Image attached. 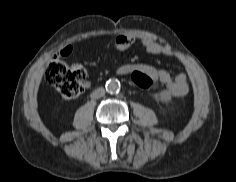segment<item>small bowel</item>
I'll return each instance as SVG.
<instances>
[{
  "instance_id": "small-bowel-1",
  "label": "small bowel",
  "mask_w": 236,
  "mask_h": 182,
  "mask_svg": "<svg viewBox=\"0 0 236 182\" xmlns=\"http://www.w3.org/2000/svg\"><path fill=\"white\" fill-rule=\"evenodd\" d=\"M135 43V38L131 35H120L112 42V48L117 51H126L131 48ZM141 45L144 49L153 55H173V51L170 46L157 43L151 39L145 38L141 40ZM72 53V46H64L59 56L68 57ZM132 69H139L147 73L153 82H160L164 84L166 93L172 97L185 96L189 91L188 76L186 73H179L173 77L168 71L164 69H156L148 64H136ZM129 68H125L128 71ZM90 83L86 82V87H89Z\"/></svg>"
}]
</instances>
